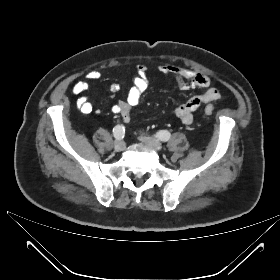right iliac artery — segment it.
I'll return each mask as SVG.
<instances>
[{
  "label": "right iliac artery",
  "instance_id": "obj_1",
  "mask_svg": "<svg viewBox=\"0 0 280 280\" xmlns=\"http://www.w3.org/2000/svg\"><path fill=\"white\" fill-rule=\"evenodd\" d=\"M113 135L116 139L121 140L125 137V127L123 125H117L113 128Z\"/></svg>",
  "mask_w": 280,
  "mask_h": 280
}]
</instances>
